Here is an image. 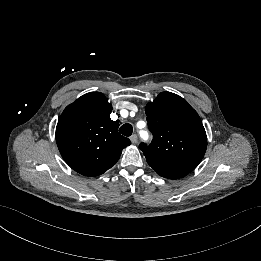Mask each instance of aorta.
I'll use <instances>...</instances> for the list:
<instances>
[{
    "label": "aorta",
    "mask_w": 261,
    "mask_h": 261,
    "mask_svg": "<svg viewBox=\"0 0 261 261\" xmlns=\"http://www.w3.org/2000/svg\"><path fill=\"white\" fill-rule=\"evenodd\" d=\"M141 137L143 138V139H147L148 138V134H147V132L146 131H141Z\"/></svg>",
    "instance_id": "762f6f07"
}]
</instances>
